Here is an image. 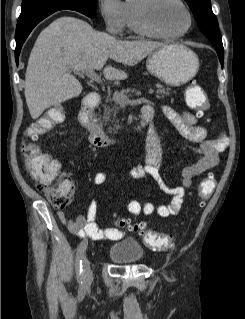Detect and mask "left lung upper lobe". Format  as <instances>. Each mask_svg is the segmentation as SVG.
Here are the masks:
<instances>
[{"label":"left lung upper lobe","mask_w":245,"mask_h":319,"mask_svg":"<svg viewBox=\"0 0 245 319\" xmlns=\"http://www.w3.org/2000/svg\"><path fill=\"white\" fill-rule=\"evenodd\" d=\"M190 6L201 31L208 37L213 46L224 51L219 33L217 18L211 9L210 0H185Z\"/></svg>","instance_id":"5c2ea615"}]
</instances>
